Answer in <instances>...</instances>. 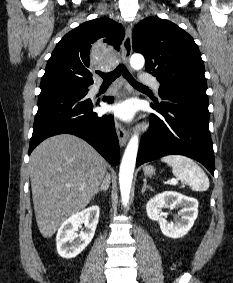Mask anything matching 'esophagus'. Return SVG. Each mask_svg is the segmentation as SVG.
Listing matches in <instances>:
<instances>
[{
    "instance_id": "esophagus-1",
    "label": "esophagus",
    "mask_w": 233,
    "mask_h": 283,
    "mask_svg": "<svg viewBox=\"0 0 233 283\" xmlns=\"http://www.w3.org/2000/svg\"><path fill=\"white\" fill-rule=\"evenodd\" d=\"M131 54H132V29H131V26H128L126 28L125 38L122 43V56H123L125 63L129 62ZM126 87L127 86H126L125 81H122L121 86H120L122 93H124ZM115 126H116V132H117V136L119 139V143L121 146H124L127 140L129 139V132L118 121L116 122Z\"/></svg>"
}]
</instances>
